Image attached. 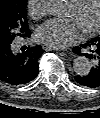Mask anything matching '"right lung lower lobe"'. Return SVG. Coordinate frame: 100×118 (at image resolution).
Listing matches in <instances>:
<instances>
[{"label": "right lung lower lobe", "mask_w": 100, "mask_h": 118, "mask_svg": "<svg viewBox=\"0 0 100 118\" xmlns=\"http://www.w3.org/2000/svg\"><path fill=\"white\" fill-rule=\"evenodd\" d=\"M21 50L17 52L12 41L0 43V80L10 85L26 84L38 74V60L44 52L42 47L34 45Z\"/></svg>", "instance_id": "obj_1"}]
</instances>
